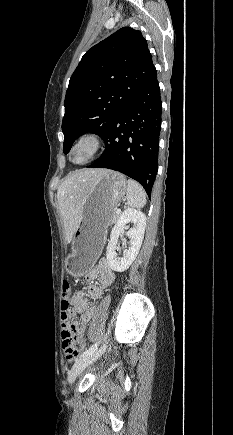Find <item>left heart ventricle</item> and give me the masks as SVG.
I'll use <instances>...</instances> for the list:
<instances>
[{
  "label": "left heart ventricle",
  "mask_w": 233,
  "mask_h": 435,
  "mask_svg": "<svg viewBox=\"0 0 233 435\" xmlns=\"http://www.w3.org/2000/svg\"><path fill=\"white\" fill-rule=\"evenodd\" d=\"M87 156V150L85 148H80L74 151L72 159L76 162L82 161Z\"/></svg>",
  "instance_id": "left-heart-ventricle-1"
}]
</instances>
